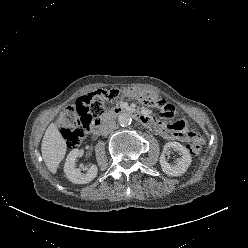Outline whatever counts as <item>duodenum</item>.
<instances>
[{"instance_id": "410a0bca", "label": "duodenum", "mask_w": 248, "mask_h": 248, "mask_svg": "<svg viewBox=\"0 0 248 248\" xmlns=\"http://www.w3.org/2000/svg\"><path fill=\"white\" fill-rule=\"evenodd\" d=\"M122 114H128L132 116L134 119H136L143 125L155 126V122L153 121V119H151L149 116L141 112H138L136 110H133L127 107H115L112 110L106 112L100 119H98L94 123L93 128H92V134L97 135L105 122Z\"/></svg>"}]
</instances>
